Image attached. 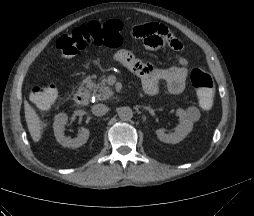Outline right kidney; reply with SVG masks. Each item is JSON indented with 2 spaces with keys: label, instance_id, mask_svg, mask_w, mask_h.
<instances>
[{
  "label": "right kidney",
  "instance_id": "1",
  "mask_svg": "<svg viewBox=\"0 0 254 216\" xmlns=\"http://www.w3.org/2000/svg\"><path fill=\"white\" fill-rule=\"evenodd\" d=\"M67 121L68 116L65 113H60L55 116L53 128L56 140L64 147L68 148L81 147L87 142L89 138L90 133L89 130L83 127L81 128L80 133L76 138L71 139L70 137H66L64 135V129Z\"/></svg>",
  "mask_w": 254,
  "mask_h": 216
}]
</instances>
